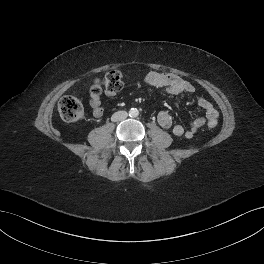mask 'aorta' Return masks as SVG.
<instances>
[{"mask_svg": "<svg viewBox=\"0 0 264 264\" xmlns=\"http://www.w3.org/2000/svg\"><path fill=\"white\" fill-rule=\"evenodd\" d=\"M139 115V111L136 108H131L129 111L130 117H137Z\"/></svg>", "mask_w": 264, "mask_h": 264, "instance_id": "obj_1", "label": "aorta"}]
</instances>
